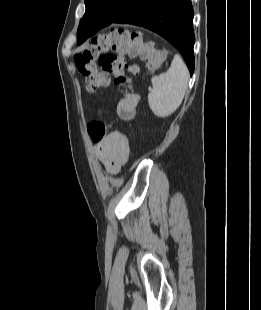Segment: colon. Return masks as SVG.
I'll return each instance as SVG.
<instances>
[{"label": "colon", "mask_w": 261, "mask_h": 310, "mask_svg": "<svg viewBox=\"0 0 261 310\" xmlns=\"http://www.w3.org/2000/svg\"><path fill=\"white\" fill-rule=\"evenodd\" d=\"M125 56L140 57L149 72L159 69L164 61L160 51L143 43L139 34L125 29H112L109 33L95 37L75 55L74 61L89 91L108 85L111 75L118 87L130 88L131 79L126 71L137 74L139 69L129 66ZM88 131L92 139L98 140L107 134V125L102 120H94L89 124Z\"/></svg>", "instance_id": "1"}]
</instances>
